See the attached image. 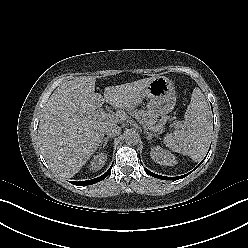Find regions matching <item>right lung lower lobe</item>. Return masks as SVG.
Masks as SVG:
<instances>
[{
    "label": "right lung lower lobe",
    "instance_id": "98d812e1",
    "mask_svg": "<svg viewBox=\"0 0 248 248\" xmlns=\"http://www.w3.org/2000/svg\"><path fill=\"white\" fill-rule=\"evenodd\" d=\"M112 166L110 167V169L105 174H103L102 176H100L98 178H95V179H92V180H87V181L72 182V183L74 185H77V186H86V185H91V184L97 183V182L105 179L108 176V174L111 172Z\"/></svg>",
    "mask_w": 248,
    "mask_h": 248
}]
</instances>
